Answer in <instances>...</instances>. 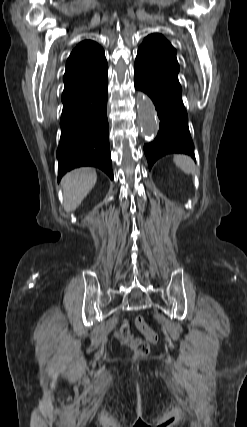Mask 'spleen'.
Returning <instances> with one entry per match:
<instances>
[{"label": "spleen", "instance_id": "1", "mask_svg": "<svg viewBox=\"0 0 247 427\" xmlns=\"http://www.w3.org/2000/svg\"><path fill=\"white\" fill-rule=\"evenodd\" d=\"M174 163L186 174H195L196 167L193 160L186 155H175L173 158Z\"/></svg>", "mask_w": 247, "mask_h": 427}]
</instances>
